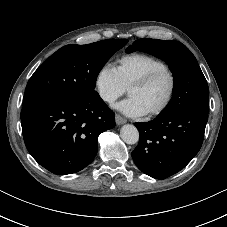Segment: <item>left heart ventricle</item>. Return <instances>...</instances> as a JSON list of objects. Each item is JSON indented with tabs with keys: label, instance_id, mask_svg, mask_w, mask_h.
Returning a JSON list of instances; mask_svg holds the SVG:
<instances>
[{
	"label": "left heart ventricle",
	"instance_id": "1",
	"mask_svg": "<svg viewBox=\"0 0 227 227\" xmlns=\"http://www.w3.org/2000/svg\"><path fill=\"white\" fill-rule=\"evenodd\" d=\"M170 86V77L161 74L147 86L134 88L128 94L139 103L146 114L161 106L168 96Z\"/></svg>",
	"mask_w": 227,
	"mask_h": 227
}]
</instances>
